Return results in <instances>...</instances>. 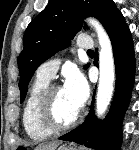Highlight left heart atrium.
Returning a JSON list of instances; mask_svg holds the SVG:
<instances>
[{
    "label": "left heart atrium",
    "instance_id": "1",
    "mask_svg": "<svg viewBox=\"0 0 139 150\" xmlns=\"http://www.w3.org/2000/svg\"><path fill=\"white\" fill-rule=\"evenodd\" d=\"M63 89L80 108L86 102L89 94L88 84L84 76L76 70L67 74Z\"/></svg>",
    "mask_w": 139,
    "mask_h": 150
}]
</instances>
